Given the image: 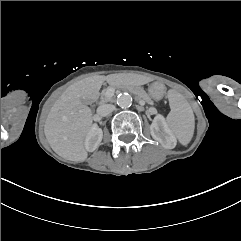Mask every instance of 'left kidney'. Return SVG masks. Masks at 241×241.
<instances>
[{"label": "left kidney", "mask_w": 241, "mask_h": 241, "mask_svg": "<svg viewBox=\"0 0 241 241\" xmlns=\"http://www.w3.org/2000/svg\"><path fill=\"white\" fill-rule=\"evenodd\" d=\"M150 132L153 139L158 141L164 148H175L177 140L162 115L155 116L150 126Z\"/></svg>", "instance_id": "5707ae66"}]
</instances>
